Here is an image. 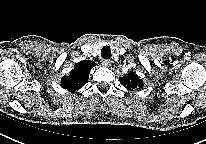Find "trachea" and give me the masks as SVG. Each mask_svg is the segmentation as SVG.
Segmentation results:
<instances>
[{
	"label": "trachea",
	"instance_id": "1",
	"mask_svg": "<svg viewBox=\"0 0 206 144\" xmlns=\"http://www.w3.org/2000/svg\"><path fill=\"white\" fill-rule=\"evenodd\" d=\"M111 49L109 46H104L102 49H101V56L102 58L104 59H110L111 58Z\"/></svg>",
	"mask_w": 206,
	"mask_h": 144
}]
</instances>
